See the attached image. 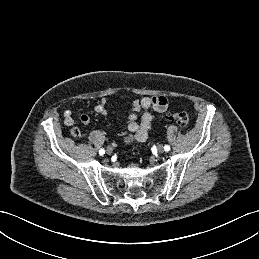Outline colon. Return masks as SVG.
<instances>
[{
  "mask_svg": "<svg viewBox=\"0 0 259 259\" xmlns=\"http://www.w3.org/2000/svg\"><path fill=\"white\" fill-rule=\"evenodd\" d=\"M168 118L170 121L175 122L181 127H187L190 121L189 116L186 112L173 113V114H170ZM72 134L74 136H78L79 135L78 129L74 128L72 130Z\"/></svg>",
  "mask_w": 259,
  "mask_h": 259,
  "instance_id": "colon-1",
  "label": "colon"
}]
</instances>
